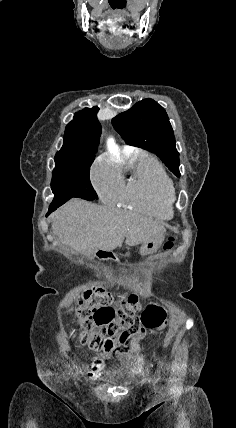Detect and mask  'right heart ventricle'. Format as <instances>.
<instances>
[{
	"label": "right heart ventricle",
	"instance_id": "obj_1",
	"mask_svg": "<svg viewBox=\"0 0 236 428\" xmlns=\"http://www.w3.org/2000/svg\"><path fill=\"white\" fill-rule=\"evenodd\" d=\"M131 168L122 201L158 219L174 214L176 188L172 177L149 152L137 150L124 162Z\"/></svg>",
	"mask_w": 236,
	"mask_h": 428
}]
</instances>
